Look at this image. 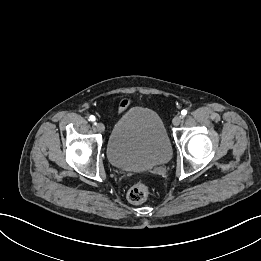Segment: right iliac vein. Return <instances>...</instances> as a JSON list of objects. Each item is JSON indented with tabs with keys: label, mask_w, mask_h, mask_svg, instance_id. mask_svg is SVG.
Segmentation results:
<instances>
[{
	"label": "right iliac vein",
	"mask_w": 261,
	"mask_h": 261,
	"mask_svg": "<svg viewBox=\"0 0 261 261\" xmlns=\"http://www.w3.org/2000/svg\"><path fill=\"white\" fill-rule=\"evenodd\" d=\"M94 125L99 132H103L105 130V126L103 123H95Z\"/></svg>",
	"instance_id": "right-iliac-vein-1"
}]
</instances>
